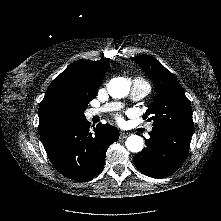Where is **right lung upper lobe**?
Instances as JSON below:
<instances>
[{
    "label": "right lung upper lobe",
    "instance_id": "cb5924a9",
    "mask_svg": "<svg viewBox=\"0 0 221 221\" xmlns=\"http://www.w3.org/2000/svg\"><path fill=\"white\" fill-rule=\"evenodd\" d=\"M109 58L76 61L57 76L39 106V133L42 141L58 135L81 118L73 95L97 93L109 67Z\"/></svg>",
    "mask_w": 221,
    "mask_h": 221
}]
</instances>
